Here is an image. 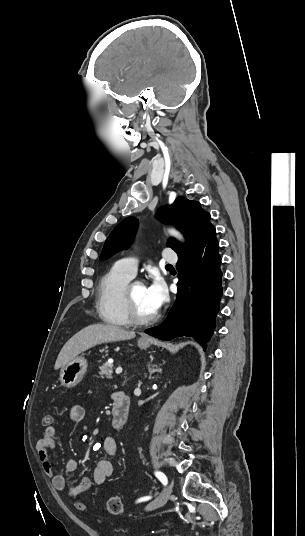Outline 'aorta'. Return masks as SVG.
I'll use <instances>...</instances> for the list:
<instances>
[{"label":"aorta","mask_w":305,"mask_h":536,"mask_svg":"<svg viewBox=\"0 0 305 536\" xmlns=\"http://www.w3.org/2000/svg\"><path fill=\"white\" fill-rule=\"evenodd\" d=\"M170 233H171L173 236H175V237H177V238H179V239H182V236H181L180 233H178L177 231H175V230H171Z\"/></svg>","instance_id":"obj_1"}]
</instances>
